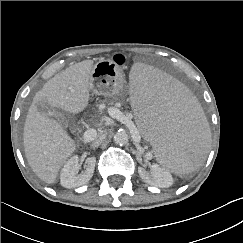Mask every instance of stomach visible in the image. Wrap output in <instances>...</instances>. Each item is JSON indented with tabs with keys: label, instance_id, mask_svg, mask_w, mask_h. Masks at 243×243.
Instances as JSON below:
<instances>
[{
	"label": "stomach",
	"instance_id": "1",
	"mask_svg": "<svg viewBox=\"0 0 243 243\" xmlns=\"http://www.w3.org/2000/svg\"><path fill=\"white\" fill-rule=\"evenodd\" d=\"M90 89L94 94L107 97L121 96L124 89L122 70L111 60H99L91 72Z\"/></svg>",
	"mask_w": 243,
	"mask_h": 243
}]
</instances>
